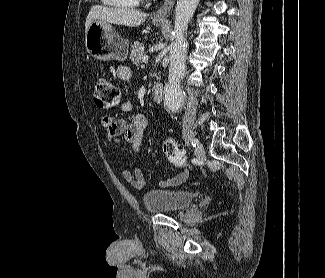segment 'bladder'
<instances>
[{"label":"bladder","mask_w":325,"mask_h":278,"mask_svg":"<svg viewBox=\"0 0 325 278\" xmlns=\"http://www.w3.org/2000/svg\"><path fill=\"white\" fill-rule=\"evenodd\" d=\"M146 210L152 214H168L185 209L194 199V194L185 189H154L143 197Z\"/></svg>","instance_id":"obj_1"}]
</instances>
